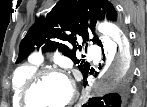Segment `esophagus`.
Instances as JSON below:
<instances>
[{
    "label": "esophagus",
    "mask_w": 147,
    "mask_h": 107,
    "mask_svg": "<svg viewBox=\"0 0 147 107\" xmlns=\"http://www.w3.org/2000/svg\"><path fill=\"white\" fill-rule=\"evenodd\" d=\"M86 100V96L85 94L82 96V98L80 99V103H83Z\"/></svg>",
    "instance_id": "34e87169"
}]
</instances>
